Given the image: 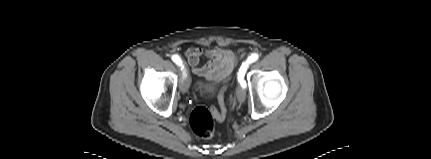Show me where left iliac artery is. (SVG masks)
Masks as SVG:
<instances>
[{
  "label": "left iliac artery",
  "instance_id": "44dca946",
  "mask_svg": "<svg viewBox=\"0 0 431 159\" xmlns=\"http://www.w3.org/2000/svg\"><path fill=\"white\" fill-rule=\"evenodd\" d=\"M258 58H259V55L256 54V53H254V54H252L251 56L248 57V59L246 60V62L242 63V66L240 67L239 72H238V82L240 83V85L243 88H246V86H247L246 81L244 80V75H245V72L247 70V67H248L249 64L257 61Z\"/></svg>",
  "mask_w": 431,
  "mask_h": 159
}]
</instances>
